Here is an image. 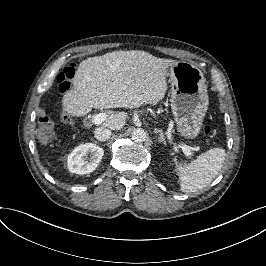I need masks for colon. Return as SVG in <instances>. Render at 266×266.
I'll list each match as a JSON object with an SVG mask.
<instances>
[{
	"label": "colon",
	"mask_w": 266,
	"mask_h": 266,
	"mask_svg": "<svg viewBox=\"0 0 266 266\" xmlns=\"http://www.w3.org/2000/svg\"><path fill=\"white\" fill-rule=\"evenodd\" d=\"M75 64L67 65L59 75L60 91L66 93L70 89L71 80L75 75ZM211 134V127L204 125L202 127V135L208 138ZM38 139L42 142H50L55 137V122L49 116H42L38 119Z\"/></svg>",
	"instance_id": "colon-1"
}]
</instances>
